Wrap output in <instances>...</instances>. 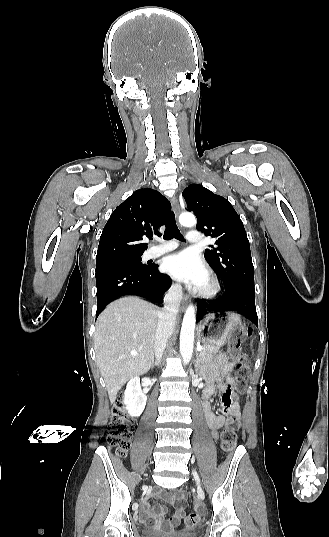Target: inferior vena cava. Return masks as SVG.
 Segmentation results:
<instances>
[{"instance_id": "602c4592", "label": "inferior vena cava", "mask_w": 329, "mask_h": 537, "mask_svg": "<svg viewBox=\"0 0 329 537\" xmlns=\"http://www.w3.org/2000/svg\"><path fill=\"white\" fill-rule=\"evenodd\" d=\"M182 299V288L173 285L164 297V308L160 311L154 343L156 360H161L168 339L173 333L176 315Z\"/></svg>"}]
</instances>
